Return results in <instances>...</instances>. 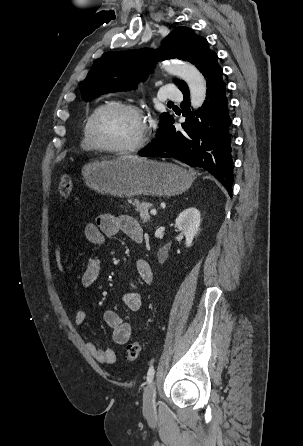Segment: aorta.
<instances>
[{
	"instance_id": "762f6f07",
	"label": "aorta",
	"mask_w": 303,
	"mask_h": 446,
	"mask_svg": "<svg viewBox=\"0 0 303 446\" xmlns=\"http://www.w3.org/2000/svg\"><path fill=\"white\" fill-rule=\"evenodd\" d=\"M164 69L173 75L182 78L190 90V102L193 109L200 108L206 98V81L199 70L189 63L169 62Z\"/></svg>"
}]
</instances>
